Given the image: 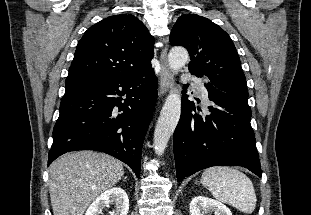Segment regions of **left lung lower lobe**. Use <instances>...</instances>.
I'll return each mask as SVG.
<instances>
[{
  "label": "left lung lower lobe",
  "instance_id": "0a47b994",
  "mask_svg": "<svg viewBox=\"0 0 311 215\" xmlns=\"http://www.w3.org/2000/svg\"><path fill=\"white\" fill-rule=\"evenodd\" d=\"M189 70L203 77L197 70ZM205 87L212 101L208 115L193 113L194 102L186 93L182 95L181 117L173 137L177 180L220 165L242 166L261 177L248 97L223 92L210 82Z\"/></svg>",
  "mask_w": 311,
  "mask_h": 215
}]
</instances>
